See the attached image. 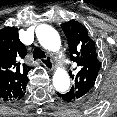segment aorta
<instances>
[{
	"label": "aorta",
	"instance_id": "1",
	"mask_svg": "<svg viewBox=\"0 0 117 117\" xmlns=\"http://www.w3.org/2000/svg\"><path fill=\"white\" fill-rule=\"evenodd\" d=\"M37 38L40 45L52 52L61 48L59 33L49 25H41L37 31ZM53 86L58 92H66L70 87V77L63 68H58L53 75Z\"/></svg>",
	"mask_w": 117,
	"mask_h": 117
}]
</instances>
